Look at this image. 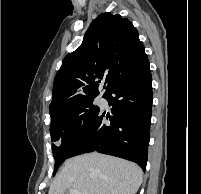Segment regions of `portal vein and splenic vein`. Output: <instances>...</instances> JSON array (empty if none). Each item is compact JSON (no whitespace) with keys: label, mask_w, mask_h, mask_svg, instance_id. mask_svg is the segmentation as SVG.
<instances>
[{"label":"portal vein and splenic vein","mask_w":201,"mask_h":194,"mask_svg":"<svg viewBox=\"0 0 201 194\" xmlns=\"http://www.w3.org/2000/svg\"><path fill=\"white\" fill-rule=\"evenodd\" d=\"M68 190H69L70 194H81L79 191L72 189V188H69Z\"/></svg>","instance_id":"obj_1"}]
</instances>
